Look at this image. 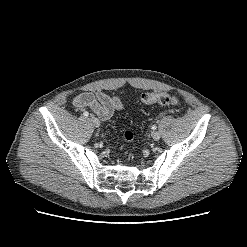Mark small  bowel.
Returning <instances> with one entry per match:
<instances>
[{"label": "small bowel", "instance_id": "small-bowel-1", "mask_svg": "<svg viewBox=\"0 0 247 247\" xmlns=\"http://www.w3.org/2000/svg\"><path fill=\"white\" fill-rule=\"evenodd\" d=\"M73 105L77 109L90 108L101 120H109L115 111L121 110L123 105L118 97L104 92L81 93L74 98Z\"/></svg>", "mask_w": 247, "mask_h": 247}]
</instances>
